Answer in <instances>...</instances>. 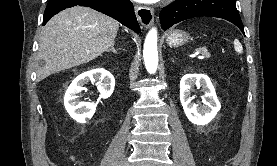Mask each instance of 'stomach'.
Wrapping results in <instances>:
<instances>
[{
	"mask_svg": "<svg viewBox=\"0 0 277 166\" xmlns=\"http://www.w3.org/2000/svg\"><path fill=\"white\" fill-rule=\"evenodd\" d=\"M189 34L185 31L175 30L166 37V42L170 47H179L187 43Z\"/></svg>",
	"mask_w": 277,
	"mask_h": 166,
	"instance_id": "stomach-1",
	"label": "stomach"
}]
</instances>
